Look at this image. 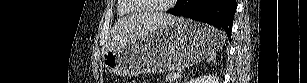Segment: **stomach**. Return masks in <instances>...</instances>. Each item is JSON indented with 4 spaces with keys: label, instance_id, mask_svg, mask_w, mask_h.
Here are the masks:
<instances>
[{
    "label": "stomach",
    "instance_id": "1",
    "mask_svg": "<svg viewBox=\"0 0 307 83\" xmlns=\"http://www.w3.org/2000/svg\"><path fill=\"white\" fill-rule=\"evenodd\" d=\"M219 31L176 18L122 47L107 50L103 65L117 76L163 73L192 66L217 50Z\"/></svg>",
    "mask_w": 307,
    "mask_h": 83
}]
</instances>
